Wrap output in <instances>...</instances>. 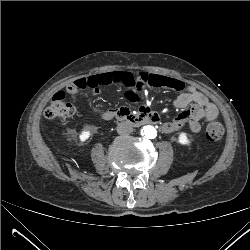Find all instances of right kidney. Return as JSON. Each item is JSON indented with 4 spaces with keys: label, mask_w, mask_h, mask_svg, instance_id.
I'll return each instance as SVG.
<instances>
[{
    "label": "right kidney",
    "mask_w": 250,
    "mask_h": 250,
    "mask_svg": "<svg viewBox=\"0 0 250 250\" xmlns=\"http://www.w3.org/2000/svg\"><path fill=\"white\" fill-rule=\"evenodd\" d=\"M91 136V132L89 130H83L81 133L78 134V138L81 142H85Z\"/></svg>",
    "instance_id": "right-kidney-1"
}]
</instances>
